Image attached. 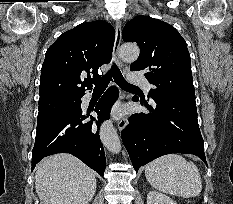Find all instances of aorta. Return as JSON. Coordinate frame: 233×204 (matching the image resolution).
Segmentation results:
<instances>
[{
	"mask_svg": "<svg viewBox=\"0 0 233 204\" xmlns=\"http://www.w3.org/2000/svg\"><path fill=\"white\" fill-rule=\"evenodd\" d=\"M136 44H124L120 48V56L125 61H135L139 56ZM100 138L104 146L113 153H119L121 142L111 121H105L100 128Z\"/></svg>",
	"mask_w": 233,
	"mask_h": 204,
	"instance_id": "762f6f07",
	"label": "aorta"
}]
</instances>
